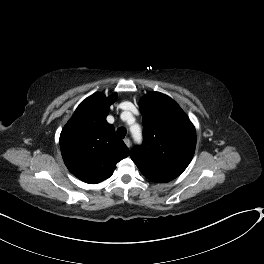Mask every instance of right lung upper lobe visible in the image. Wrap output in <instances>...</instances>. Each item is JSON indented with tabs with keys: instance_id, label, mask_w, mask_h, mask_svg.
<instances>
[{
	"instance_id": "obj_1",
	"label": "right lung upper lobe",
	"mask_w": 264,
	"mask_h": 264,
	"mask_svg": "<svg viewBox=\"0 0 264 264\" xmlns=\"http://www.w3.org/2000/svg\"><path fill=\"white\" fill-rule=\"evenodd\" d=\"M116 98V93L106 97L100 92L86 98L60 134L64 163L83 182L96 184L109 178L117 162L129 155L127 146L106 121Z\"/></svg>"
}]
</instances>
